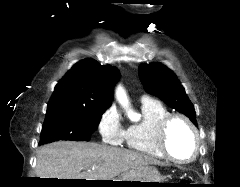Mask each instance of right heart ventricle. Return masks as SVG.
Segmentation results:
<instances>
[{
	"mask_svg": "<svg viewBox=\"0 0 240 187\" xmlns=\"http://www.w3.org/2000/svg\"><path fill=\"white\" fill-rule=\"evenodd\" d=\"M143 119L125 130V144L128 149L153 157L164 158L157 146L156 133L160 121L170 112L160 102H142Z\"/></svg>",
	"mask_w": 240,
	"mask_h": 187,
	"instance_id": "1",
	"label": "right heart ventricle"
}]
</instances>
